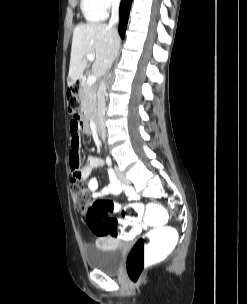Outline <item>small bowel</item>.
<instances>
[{
	"instance_id": "c3829d8e",
	"label": "small bowel",
	"mask_w": 247,
	"mask_h": 304,
	"mask_svg": "<svg viewBox=\"0 0 247 304\" xmlns=\"http://www.w3.org/2000/svg\"><path fill=\"white\" fill-rule=\"evenodd\" d=\"M70 119L80 120H68V127H70V168L72 177L79 178L85 181L86 189L92 194L94 198H102L109 195H117L124 192L130 199L134 200L137 198V194L131 187L121 185L116 179L115 175L111 170H108L109 183L107 186L99 189V183L96 178L90 177L91 172L99 168L103 161L101 158L96 156H90L83 163V152L79 149L81 138L84 133H89L90 129L85 120H82L81 112H70Z\"/></svg>"
}]
</instances>
